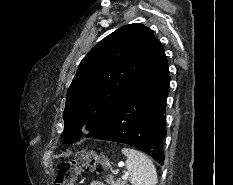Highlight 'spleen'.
<instances>
[{
	"label": "spleen",
	"mask_w": 233,
	"mask_h": 185,
	"mask_svg": "<svg viewBox=\"0 0 233 185\" xmlns=\"http://www.w3.org/2000/svg\"><path fill=\"white\" fill-rule=\"evenodd\" d=\"M121 152L127 157L126 168L131 172L133 185L157 184L156 168L147 155L132 148H122Z\"/></svg>",
	"instance_id": "spleen-1"
}]
</instances>
